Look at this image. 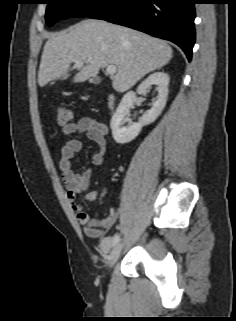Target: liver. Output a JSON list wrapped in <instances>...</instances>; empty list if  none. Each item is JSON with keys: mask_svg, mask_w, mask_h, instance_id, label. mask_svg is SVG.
<instances>
[{"mask_svg": "<svg viewBox=\"0 0 236 321\" xmlns=\"http://www.w3.org/2000/svg\"><path fill=\"white\" fill-rule=\"evenodd\" d=\"M172 55V48L161 39L103 20L86 19L49 36L41 57L38 84L44 87L55 79H67L71 63L82 61L74 82L96 77L101 67L114 65L117 73L112 86L122 93L146 74L169 63Z\"/></svg>", "mask_w": 236, "mask_h": 321, "instance_id": "liver-1", "label": "liver"}]
</instances>
